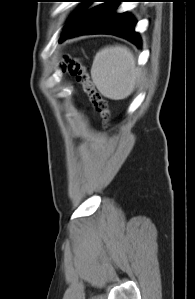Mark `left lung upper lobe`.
Returning <instances> with one entry per match:
<instances>
[{"mask_svg":"<svg viewBox=\"0 0 195 299\" xmlns=\"http://www.w3.org/2000/svg\"><path fill=\"white\" fill-rule=\"evenodd\" d=\"M82 2H87L88 0H81ZM81 9H79L71 18V20L69 21V24L77 17V15L79 14ZM68 24V25H69Z\"/></svg>","mask_w":195,"mask_h":299,"instance_id":"1","label":"left lung upper lobe"}]
</instances>
